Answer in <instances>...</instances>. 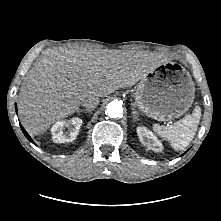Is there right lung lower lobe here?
I'll list each match as a JSON object with an SVG mask.
<instances>
[{
  "label": "right lung lower lobe",
  "instance_id": "right-lung-lower-lobe-1",
  "mask_svg": "<svg viewBox=\"0 0 221 221\" xmlns=\"http://www.w3.org/2000/svg\"><path fill=\"white\" fill-rule=\"evenodd\" d=\"M16 110H17V107H16ZM21 126V125H20ZM21 129H22V132L24 133L25 137L30 141L32 142L33 144H35L33 142V140L30 138V136L28 135V133L25 131V129L21 126Z\"/></svg>",
  "mask_w": 221,
  "mask_h": 221
}]
</instances>
